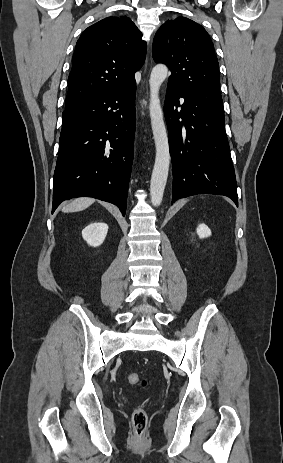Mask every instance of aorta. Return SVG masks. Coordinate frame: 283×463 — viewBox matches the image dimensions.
I'll use <instances>...</instances> for the list:
<instances>
[{"label":"aorta","instance_id":"aorta-1","mask_svg":"<svg viewBox=\"0 0 283 463\" xmlns=\"http://www.w3.org/2000/svg\"><path fill=\"white\" fill-rule=\"evenodd\" d=\"M168 75V68L164 64H157L151 71L149 79L150 103L149 112L151 127L156 147V157L150 182V196L153 206H159L168 178L170 152L168 135L164 123L163 111L159 99V89Z\"/></svg>","mask_w":283,"mask_h":463}]
</instances>
